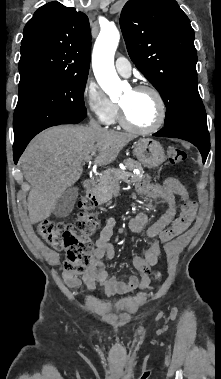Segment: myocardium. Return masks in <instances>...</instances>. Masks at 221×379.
<instances>
[{"label": "myocardium", "mask_w": 221, "mask_h": 379, "mask_svg": "<svg viewBox=\"0 0 221 379\" xmlns=\"http://www.w3.org/2000/svg\"><path fill=\"white\" fill-rule=\"evenodd\" d=\"M133 91H135V92H149L154 96V98L157 102V107H158L157 118H156L155 122L148 127L136 126L129 121V119L127 118V115L125 113L124 108L121 105H119V120H120L121 125L129 131L139 133V134H151V133L156 132L164 124L165 119H166V114H167L166 104H165V101H164L162 94L160 93V91L157 88H155L152 85H148V84L138 85V86L133 88Z\"/></svg>", "instance_id": "myocardium-1"}]
</instances>
